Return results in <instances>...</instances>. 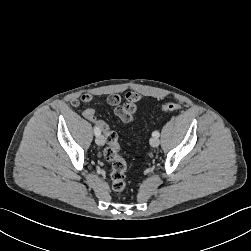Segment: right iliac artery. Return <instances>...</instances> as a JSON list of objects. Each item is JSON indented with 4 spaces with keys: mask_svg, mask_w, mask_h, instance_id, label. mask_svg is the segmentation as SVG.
Returning a JSON list of instances; mask_svg holds the SVG:
<instances>
[{
    "mask_svg": "<svg viewBox=\"0 0 251 251\" xmlns=\"http://www.w3.org/2000/svg\"><path fill=\"white\" fill-rule=\"evenodd\" d=\"M94 133L96 136L100 134V129L97 126L94 127Z\"/></svg>",
    "mask_w": 251,
    "mask_h": 251,
    "instance_id": "1",
    "label": "right iliac artery"
}]
</instances>
